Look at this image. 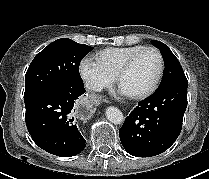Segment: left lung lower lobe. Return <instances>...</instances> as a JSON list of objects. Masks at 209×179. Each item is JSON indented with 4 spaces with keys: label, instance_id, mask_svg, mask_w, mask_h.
<instances>
[{
    "label": "left lung lower lobe",
    "instance_id": "0a47b994",
    "mask_svg": "<svg viewBox=\"0 0 209 179\" xmlns=\"http://www.w3.org/2000/svg\"><path fill=\"white\" fill-rule=\"evenodd\" d=\"M187 107V83L156 91L140 101L119 130L125 150L137 157L166 151L177 139Z\"/></svg>",
    "mask_w": 209,
    "mask_h": 179
}]
</instances>
